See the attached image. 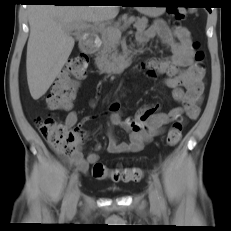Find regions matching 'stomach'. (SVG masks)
<instances>
[{
    "label": "stomach",
    "mask_w": 231,
    "mask_h": 231,
    "mask_svg": "<svg viewBox=\"0 0 231 231\" xmlns=\"http://www.w3.org/2000/svg\"><path fill=\"white\" fill-rule=\"evenodd\" d=\"M162 1L158 0H151V1H144V4H160ZM165 7H152V6H144V7H137V10L147 16L150 17H157L160 16L164 11Z\"/></svg>",
    "instance_id": "1"
}]
</instances>
